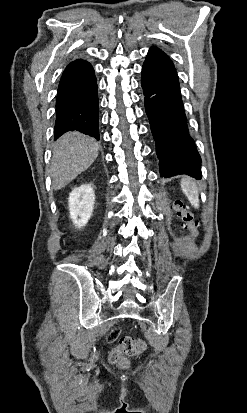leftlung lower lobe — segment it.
Wrapping results in <instances>:
<instances>
[{
    "label": "left lung lower lobe",
    "mask_w": 247,
    "mask_h": 413,
    "mask_svg": "<svg viewBox=\"0 0 247 413\" xmlns=\"http://www.w3.org/2000/svg\"><path fill=\"white\" fill-rule=\"evenodd\" d=\"M141 84L161 177L187 174L201 179V158L189 135L178 76L171 59L161 49L149 50Z\"/></svg>",
    "instance_id": "1"
}]
</instances>
